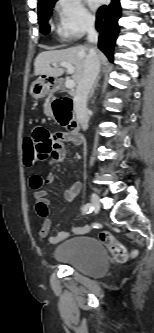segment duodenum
I'll list each match as a JSON object with an SVG mask.
<instances>
[{
  "label": "duodenum",
  "instance_id": "410a0bca",
  "mask_svg": "<svg viewBox=\"0 0 154 333\" xmlns=\"http://www.w3.org/2000/svg\"><path fill=\"white\" fill-rule=\"evenodd\" d=\"M58 82L51 81V87H56ZM54 114L58 115L56 108L54 107ZM69 126L72 127V135L79 136V122L77 120L70 121Z\"/></svg>",
  "mask_w": 154,
  "mask_h": 333
}]
</instances>
